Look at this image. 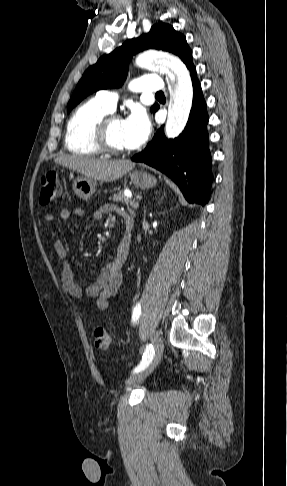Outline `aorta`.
Listing matches in <instances>:
<instances>
[{
	"mask_svg": "<svg viewBox=\"0 0 287 486\" xmlns=\"http://www.w3.org/2000/svg\"><path fill=\"white\" fill-rule=\"evenodd\" d=\"M136 64L160 69L169 76L171 83L176 81L165 133L168 138L179 136L187 124L192 104V83L186 66L179 58L170 55L139 57Z\"/></svg>",
	"mask_w": 287,
	"mask_h": 486,
	"instance_id": "762f6f07",
	"label": "aorta"
}]
</instances>
